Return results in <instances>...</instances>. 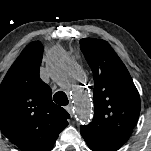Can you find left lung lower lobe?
Returning <instances> with one entry per match:
<instances>
[{
	"label": "left lung lower lobe",
	"instance_id": "left-lung-lower-lobe-1",
	"mask_svg": "<svg viewBox=\"0 0 151 151\" xmlns=\"http://www.w3.org/2000/svg\"><path fill=\"white\" fill-rule=\"evenodd\" d=\"M88 146L93 151H117L128 139L82 133Z\"/></svg>",
	"mask_w": 151,
	"mask_h": 151
}]
</instances>
